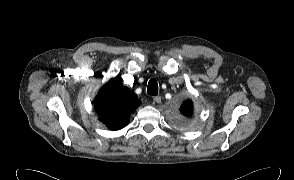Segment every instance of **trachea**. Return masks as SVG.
Wrapping results in <instances>:
<instances>
[{
  "instance_id": "3493384b",
  "label": "trachea",
  "mask_w": 294,
  "mask_h": 180,
  "mask_svg": "<svg viewBox=\"0 0 294 180\" xmlns=\"http://www.w3.org/2000/svg\"><path fill=\"white\" fill-rule=\"evenodd\" d=\"M147 93L150 95L158 94V84L155 79H151L148 83Z\"/></svg>"
}]
</instances>
